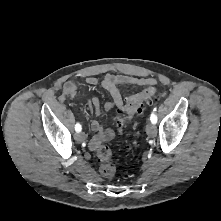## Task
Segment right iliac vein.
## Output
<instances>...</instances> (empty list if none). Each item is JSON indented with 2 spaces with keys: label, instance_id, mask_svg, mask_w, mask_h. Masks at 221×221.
<instances>
[{
  "label": "right iliac vein",
  "instance_id": "obj_1",
  "mask_svg": "<svg viewBox=\"0 0 221 221\" xmlns=\"http://www.w3.org/2000/svg\"><path fill=\"white\" fill-rule=\"evenodd\" d=\"M75 139L77 142H84L86 140V135L84 132H79L76 134Z\"/></svg>",
  "mask_w": 221,
  "mask_h": 221
}]
</instances>
